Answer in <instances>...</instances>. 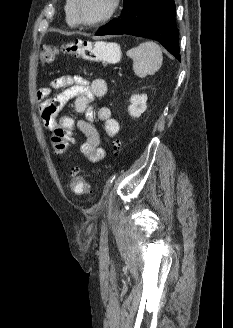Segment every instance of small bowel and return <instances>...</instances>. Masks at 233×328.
Here are the masks:
<instances>
[{"mask_svg": "<svg viewBox=\"0 0 233 328\" xmlns=\"http://www.w3.org/2000/svg\"><path fill=\"white\" fill-rule=\"evenodd\" d=\"M58 88L63 91L49 98L52 90ZM106 92L107 84L103 79L96 78L89 81L80 75H63L39 89L37 93L42 120L46 128L51 131L57 125L59 111L68 101L74 99V110L84 115V119L76 124L82 135L80 151L90 162H99L105 156V151L100 146V134L92 123L95 116L103 123L108 137H115L119 132V123L112 117L110 108L103 106L95 112L92 105L96 99L104 97Z\"/></svg>", "mask_w": 233, "mask_h": 328, "instance_id": "obj_1", "label": "small bowel"}]
</instances>
